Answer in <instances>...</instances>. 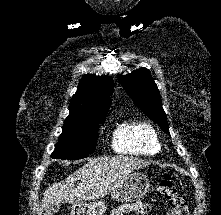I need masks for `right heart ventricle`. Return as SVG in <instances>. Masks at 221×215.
<instances>
[{
    "label": "right heart ventricle",
    "instance_id": "1",
    "mask_svg": "<svg viewBox=\"0 0 221 215\" xmlns=\"http://www.w3.org/2000/svg\"><path fill=\"white\" fill-rule=\"evenodd\" d=\"M113 147L119 153L153 155L161 145L154 127L146 121H125L113 134Z\"/></svg>",
    "mask_w": 221,
    "mask_h": 215
}]
</instances>
